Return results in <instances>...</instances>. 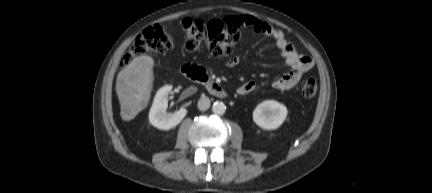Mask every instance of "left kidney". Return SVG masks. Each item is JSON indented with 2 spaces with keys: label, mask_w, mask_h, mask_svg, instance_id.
<instances>
[{
  "label": "left kidney",
  "mask_w": 432,
  "mask_h": 193,
  "mask_svg": "<svg viewBox=\"0 0 432 193\" xmlns=\"http://www.w3.org/2000/svg\"><path fill=\"white\" fill-rule=\"evenodd\" d=\"M287 108L275 100H266L253 111V121L265 130H275L285 121Z\"/></svg>",
  "instance_id": "left-kidney-1"
}]
</instances>
